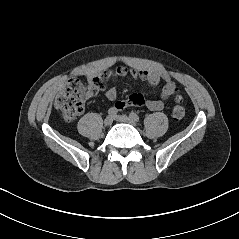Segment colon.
I'll return each instance as SVG.
<instances>
[{
    "label": "colon",
    "instance_id": "1",
    "mask_svg": "<svg viewBox=\"0 0 239 239\" xmlns=\"http://www.w3.org/2000/svg\"><path fill=\"white\" fill-rule=\"evenodd\" d=\"M99 89L103 88L104 81L96 82ZM91 87L85 85L77 78H71L66 83L64 90L58 95L55 107L60 111L65 121H75L83 112L84 102L90 95ZM185 115V108L180 97L173 108V117L180 120Z\"/></svg>",
    "mask_w": 239,
    "mask_h": 239
}]
</instances>
